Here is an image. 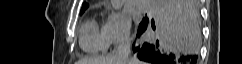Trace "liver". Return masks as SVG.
Listing matches in <instances>:
<instances>
[{
    "label": "liver",
    "instance_id": "obj_1",
    "mask_svg": "<svg viewBox=\"0 0 242 64\" xmlns=\"http://www.w3.org/2000/svg\"><path fill=\"white\" fill-rule=\"evenodd\" d=\"M178 29L183 31L186 35L193 36L195 41H199L200 30L197 27L196 22L191 18L189 13L185 10L180 22L177 23ZM197 29V30H196ZM76 64H121L120 61L114 55L106 57H100L96 59H81ZM128 64H145L136 58H132L128 61Z\"/></svg>",
    "mask_w": 242,
    "mask_h": 64
}]
</instances>
